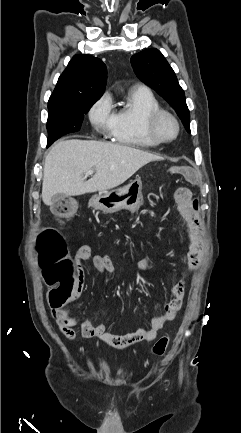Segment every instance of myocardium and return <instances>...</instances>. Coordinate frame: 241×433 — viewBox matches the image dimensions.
I'll return each mask as SVG.
<instances>
[{
  "instance_id": "1",
  "label": "myocardium",
  "mask_w": 241,
  "mask_h": 433,
  "mask_svg": "<svg viewBox=\"0 0 241 433\" xmlns=\"http://www.w3.org/2000/svg\"><path fill=\"white\" fill-rule=\"evenodd\" d=\"M164 118L170 119L175 125V134L173 137L168 139L163 138L158 130L159 123ZM145 128L148 136L157 144L171 143L178 138L180 133V123L177 117L173 113L165 109H158L151 112L146 119Z\"/></svg>"
}]
</instances>
